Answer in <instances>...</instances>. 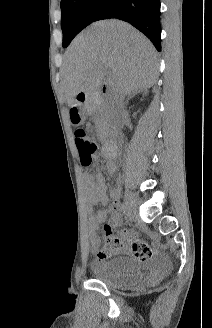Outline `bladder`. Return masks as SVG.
Wrapping results in <instances>:
<instances>
[{
	"label": "bladder",
	"mask_w": 212,
	"mask_h": 328,
	"mask_svg": "<svg viewBox=\"0 0 212 328\" xmlns=\"http://www.w3.org/2000/svg\"><path fill=\"white\" fill-rule=\"evenodd\" d=\"M141 267L140 262H129L123 257H118L109 260H93L90 263V272L94 279L109 287H122L142 281L144 273Z\"/></svg>",
	"instance_id": "1"
}]
</instances>
